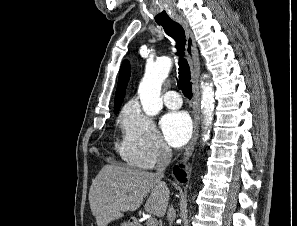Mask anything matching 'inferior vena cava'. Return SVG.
<instances>
[{"label":"inferior vena cava","mask_w":297,"mask_h":226,"mask_svg":"<svg viewBox=\"0 0 297 226\" xmlns=\"http://www.w3.org/2000/svg\"><path fill=\"white\" fill-rule=\"evenodd\" d=\"M172 158V151L167 145H163L158 153L157 164H156V173L155 175L159 178L164 176V171L166 167L170 164ZM176 213L173 206H170L167 212V218L169 221V226H172L175 219Z\"/></svg>","instance_id":"1"}]
</instances>
